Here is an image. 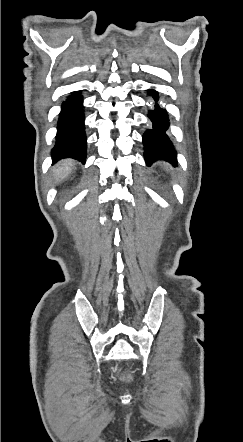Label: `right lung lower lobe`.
Returning a JSON list of instances; mask_svg holds the SVG:
<instances>
[{"label":"right lung lower lobe","mask_w":243,"mask_h":442,"mask_svg":"<svg viewBox=\"0 0 243 442\" xmlns=\"http://www.w3.org/2000/svg\"><path fill=\"white\" fill-rule=\"evenodd\" d=\"M82 96L73 92L63 103L57 124L56 143L52 149L54 162L74 158L85 162L86 136Z\"/></svg>","instance_id":"98d812e1"}]
</instances>
